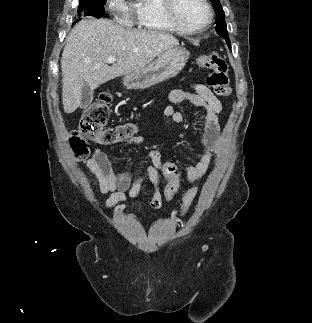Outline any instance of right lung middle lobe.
<instances>
[{"instance_id":"1","label":"right lung middle lobe","mask_w":312,"mask_h":323,"mask_svg":"<svg viewBox=\"0 0 312 323\" xmlns=\"http://www.w3.org/2000/svg\"><path fill=\"white\" fill-rule=\"evenodd\" d=\"M104 1L106 0H79L77 12L79 16L91 15L96 18H101L105 14Z\"/></svg>"}]
</instances>
